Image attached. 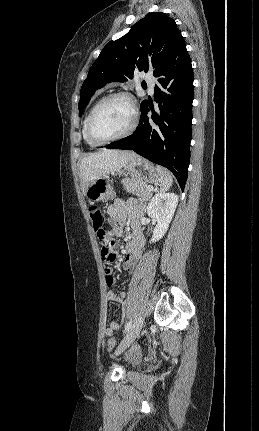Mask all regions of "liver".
Returning <instances> with one entry per match:
<instances>
[{"label": "liver", "instance_id": "liver-1", "mask_svg": "<svg viewBox=\"0 0 259 431\" xmlns=\"http://www.w3.org/2000/svg\"><path fill=\"white\" fill-rule=\"evenodd\" d=\"M133 151L103 149L84 157L80 163V179L83 193L95 180L120 172L128 161L137 157Z\"/></svg>", "mask_w": 259, "mask_h": 431}]
</instances>
